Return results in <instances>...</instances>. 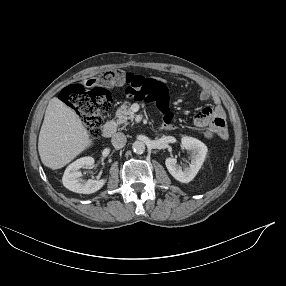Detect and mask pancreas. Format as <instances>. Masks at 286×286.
<instances>
[{
  "label": "pancreas",
  "instance_id": "1",
  "mask_svg": "<svg viewBox=\"0 0 286 286\" xmlns=\"http://www.w3.org/2000/svg\"><path fill=\"white\" fill-rule=\"evenodd\" d=\"M134 113L130 110V104L124 103L122 104L116 111V123L120 124H127V120L134 119Z\"/></svg>",
  "mask_w": 286,
  "mask_h": 286
}]
</instances>
